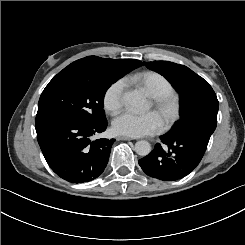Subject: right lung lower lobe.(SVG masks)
<instances>
[{
	"instance_id": "obj_1",
	"label": "right lung lower lobe",
	"mask_w": 245,
	"mask_h": 245,
	"mask_svg": "<svg viewBox=\"0 0 245 245\" xmlns=\"http://www.w3.org/2000/svg\"><path fill=\"white\" fill-rule=\"evenodd\" d=\"M106 127V119L96 123L71 119L35 123L45 160L59 177L71 183L91 181L104 171L115 140L91 141V136Z\"/></svg>"
}]
</instances>
